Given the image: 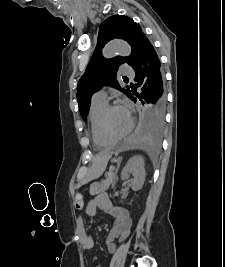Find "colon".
I'll return each mask as SVG.
<instances>
[{"label":"colon","mask_w":225,"mask_h":267,"mask_svg":"<svg viewBox=\"0 0 225 267\" xmlns=\"http://www.w3.org/2000/svg\"><path fill=\"white\" fill-rule=\"evenodd\" d=\"M83 206H84L83 197L80 193H77L74 201V207L76 211H82Z\"/></svg>","instance_id":"colon-1"}]
</instances>
